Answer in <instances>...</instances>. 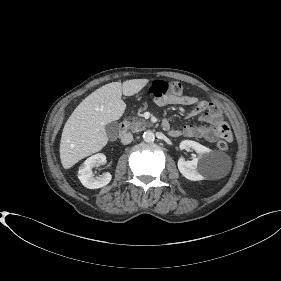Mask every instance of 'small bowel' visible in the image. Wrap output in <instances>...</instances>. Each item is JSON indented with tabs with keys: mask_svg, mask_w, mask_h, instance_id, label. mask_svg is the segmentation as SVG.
Returning a JSON list of instances; mask_svg holds the SVG:
<instances>
[{
	"mask_svg": "<svg viewBox=\"0 0 281 281\" xmlns=\"http://www.w3.org/2000/svg\"><path fill=\"white\" fill-rule=\"evenodd\" d=\"M155 103L159 107L168 105L193 106L189 117L199 116L202 123L210 124V126L205 124L185 125L181 129H173L167 121H164L167 124L165 129L169 131L172 137L200 138L211 143L219 138L232 139L228 125L224 121L217 104L212 100H199L194 96L178 95L158 98L155 100Z\"/></svg>",
	"mask_w": 281,
	"mask_h": 281,
	"instance_id": "obj_1",
	"label": "small bowel"
}]
</instances>
